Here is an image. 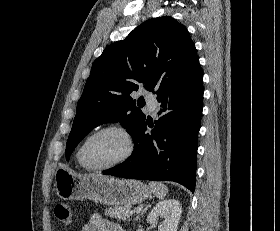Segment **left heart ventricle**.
<instances>
[{
	"instance_id": "left-heart-ventricle-1",
	"label": "left heart ventricle",
	"mask_w": 280,
	"mask_h": 231,
	"mask_svg": "<svg viewBox=\"0 0 280 231\" xmlns=\"http://www.w3.org/2000/svg\"><path fill=\"white\" fill-rule=\"evenodd\" d=\"M125 140L121 134L108 131L95 136L85 149V159L93 166L107 165L124 153Z\"/></svg>"
}]
</instances>
